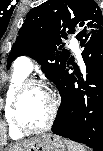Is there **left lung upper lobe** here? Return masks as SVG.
I'll list each match as a JSON object with an SVG mask.
<instances>
[{"instance_id":"1","label":"left lung upper lobe","mask_w":103,"mask_h":151,"mask_svg":"<svg viewBox=\"0 0 103 151\" xmlns=\"http://www.w3.org/2000/svg\"><path fill=\"white\" fill-rule=\"evenodd\" d=\"M79 27H83L79 31ZM103 29V17L93 0H48L28 12L8 57V67L20 55H28L42 65L54 82L69 60L62 38L91 29ZM67 31V33H66Z\"/></svg>"}]
</instances>
